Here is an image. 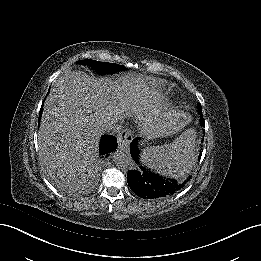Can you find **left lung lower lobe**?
<instances>
[{"label": "left lung lower lobe", "mask_w": 261, "mask_h": 261, "mask_svg": "<svg viewBox=\"0 0 261 261\" xmlns=\"http://www.w3.org/2000/svg\"><path fill=\"white\" fill-rule=\"evenodd\" d=\"M138 140L139 138H136L130 144L131 156L135 161H137L139 156V150L137 147ZM188 172L189 171L186 170L184 175L178 179L177 182L176 180L161 177L141 168L128 171L127 182L131 190L139 197L148 200H162L174 195L183 187L182 181L186 178V173Z\"/></svg>", "instance_id": "obj_1"}]
</instances>
